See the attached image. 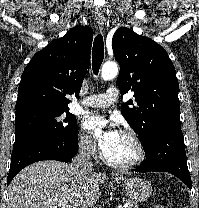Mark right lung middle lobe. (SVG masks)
<instances>
[{
  "label": "right lung middle lobe",
  "mask_w": 199,
  "mask_h": 208,
  "mask_svg": "<svg viewBox=\"0 0 199 208\" xmlns=\"http://www.w3.org/2000/svg\"><path fill=\"white\" fill-rule=\"evenodd\" d=\"M70 143L77 138V120L66 108L29 107L16 111L15 143L32 139Z\"/></svg>",
  "instance_id": "right-lung-middle-lobe-1"
}]
</instances>
